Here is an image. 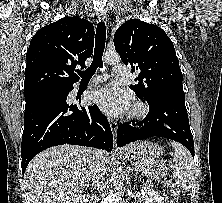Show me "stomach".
Instances as JSON below:
<instances>
[{
	"mask_svg": "<svg viewBox=\"0 0 222 203\" xmlns=\"http://www.w3.org/2000/svg\"><path fill=\"white\" fill-rule=\"evenodd\" d=\"M164 150L156 143L149 141H140L129 145L125 149V155L131 160H154L162 156Z\"/></svg>",
	"mask_w": 222,
	"mask_h": 203,
	"instance_id": "1",
	"label": "stomach"
}]
</instances>
